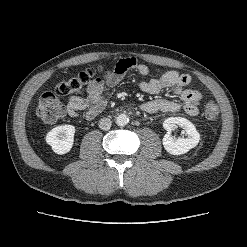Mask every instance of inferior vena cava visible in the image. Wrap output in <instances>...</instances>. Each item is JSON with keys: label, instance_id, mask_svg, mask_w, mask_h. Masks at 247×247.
<instances>
[{"label": "inferior vena cava", "instance_id": "602c4592", "mask_svg": "<svg viewBox=\"0 0 247 247\" xmlns=\"http://www.w3.org/2000/svg\"><path fill=\"white\" fill-rule=\"evenodd\" d=\"M111 124H112V122H111V120L109 118H102L99 121V127L102 130H108V129H110Z\"/></svg>", "mask_w": 247, "mask_h": 247}]
</instances>
